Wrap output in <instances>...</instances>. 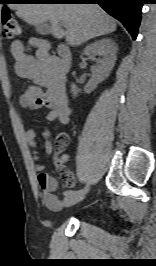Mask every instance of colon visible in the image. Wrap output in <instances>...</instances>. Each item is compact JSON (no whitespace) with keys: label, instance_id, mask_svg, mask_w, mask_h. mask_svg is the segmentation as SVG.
Listing matches in <instances>:
<instances>
[{"label":"colon","instance_id":"obj_1","mask_svg":"<svg viewBox=\"0 0 156 266\" xmlns=\"http://www.w3.org/2000/svg\"><path fill=\"white\" fill-rule=\"evenodd\" d=\"M20 33V26L16 17L9 11L2 12V34L7 40L14 39ZM68 142V136L61 134L56 141L58 147H63Z\"/></svg>","mask_w":156,"mask_h":266}]
</instances>
